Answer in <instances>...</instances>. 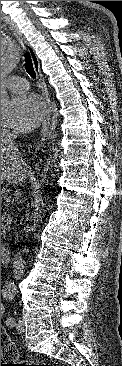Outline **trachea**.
I'll use <instances>...</instances> for the list:
<instances>
[{
	"label": "trachea",
	"instance_id": "trachea-1",
	"mask_svg": "<svg viewBox=\"0 0 122 366\" xmlns=\"http://www.w3.org/2000/svg\"><path fill=\"white\" fill-rule=\"evenodd\" d=\"M24 56H25V69H26V72L32 78H35L36 73H35V69H34L33 62H32V59H31V56H30L29 52L26 51Z\"/></svg>",
	"mask_w": 122,
	"mask_h": 366
}]
</instances>
